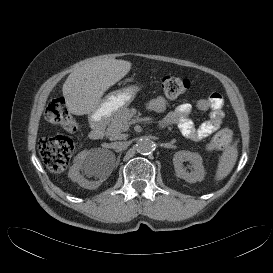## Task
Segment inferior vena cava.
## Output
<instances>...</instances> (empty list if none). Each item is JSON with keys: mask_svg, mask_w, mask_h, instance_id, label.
Segmentation results:
<instances>
[{"mask_svg": "<svg viewBox=\"0 0 273 273\" xmlns=\"http://www.w3.org/2000/svg\"><path fill=\"white\" fill-rule=\"evenodd\" d=\"M127 142H114L112 143V148L115 150H122L127 147Z\"/></svg>", "mask_w": 273, "mask_h": 273, "instance_id": "obj_1", "label": "inferior vena cava"}]
</instances>
